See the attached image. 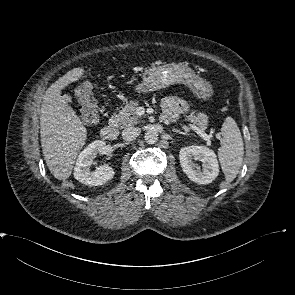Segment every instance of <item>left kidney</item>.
<instances>
[{
  "instance_id": "obj_1",
  "label": "left kidney",
  "mask_w": 295,
  "mask_h": 295,
  "mask_svg": "<svg viewBox=\"0 0 295 295\" xmlns=\"http://www.w3.org/2000/svg\"><path fill=\"white\" fill-rule=\"evenodd\" d=\"M179 160L183 172L198 184H209L219 174V165L215 153L205 146L181 148ZM194 161L202 162V169Z\"/></svg>"
}]
</instances>
